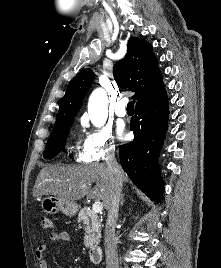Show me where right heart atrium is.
<instances>
[{
    "label": "right heart atrium",
    "instance_id": "d8ad5b80",
    "mask_svg": "<svg viewBox=\"0 0 221 268\" xmlns=\"http://www.w3.org/2000/svg\"><path fill=\"white\" fill-rule=\"evenodd\" d=\"M87 127V123L84 122ZM84 147L91 162L104 160L115 152L116 145L109 127L92 128L87 132Z\"/></svg>",
    "mask_w": 221,
    "mask_h": 268
}]
</instances>
